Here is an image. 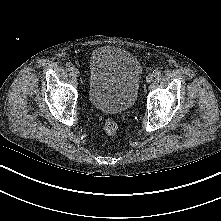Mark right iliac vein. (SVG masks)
<instances>
[{
  "label": "right iliac vein",
  "mask_w": 221,
  "mask_h": 221,
  "mask_svg": "<svg viewBox=\"0 0 221 221\" xmlns=\"http://www.w3.org/2000/svg\"><path fill=\"white\" fill-rule=\"evenodd\" d=\"M71 73L75 77H78L80 75V72L77 68H73Z\"/></svg>",
  "instance_id": "63e3f726"
}]
</instances>
